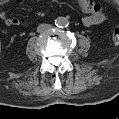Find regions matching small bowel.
<instances>
[{
  "mask_svg": "<svg viewBox=\"0 0 119 119\" xmlns=\"http://www.w3.org/2000/svg\"><path fill=\"white\" fill-rule=\"evenodd\" d=\"M80 8L88 13L83 17L82 22L86 27H92L106 21V15L103 13L100 4L90 0H79ZM0 18L6 25H20L21 21L17 17L10 16L5 12L0 13Z\"/></svg>",
  "mask_w": 119,
  "mask_h": 119,
  "instance_id": "1",
  "label": "small bowel"
}]
</instances>
